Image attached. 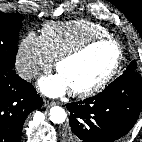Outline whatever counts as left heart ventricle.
<instances>
[{"label": "left heart ventricle", "instance_id": "obj_1", "mask_svg": "<svg viewBox=\"0 0 142 142\" xmlns=\"http://www.w3.org/2000/svg\"><path fill=\"white\" fill-rule=\"evenodd\" d=\"M117 49L111 43L98 44L84 54L64 62L58 73L70 90L84 89L103 78L114 65Z\"/></svg>", "mask_w": 142, "mask_h": 142}]
</instances>
